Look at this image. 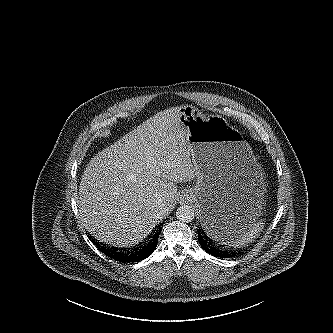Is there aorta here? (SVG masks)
Wrapping results in <instances>:
<instances>
[{
	"label": "aorta",
	"mask_w": 333,
	"mask_h": 333,
	"mask_svg": "<svg viewBox=\"0 0 333 333\" xmlns=\"http://www.w3.org/2000/svg\"><path fill=\"white\" fill-rule=\"evenodd\" d=\"M194 216H195L194 210L188 205H182L176 211L177 219L184 223L192 222Z\"/></svg>",
	"instance_id": "aorta-1"
}]
</instances>
